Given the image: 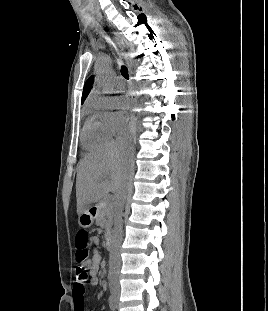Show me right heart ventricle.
Returning <instances> with one entry per match:
<instances>
[{
	"instance_id": "1",
	"label": "right heart ventricle",
	"mask_w": 268,
	"mask_h": 311,
	"mask_svg": "<svg viewBox=\"0 0 268 311\" xmlns=\"http://www.w3.org/2000/svg\"><path fill=\"white\" fill-rule=\"evenodd\" d=\"M112 136L103 128L101 123L94 117H89L83 126L82 144L88 150H95L107 145Z\"/></svg>"
}]
</instances>
